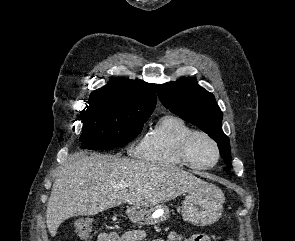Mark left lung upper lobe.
Segmentation results:
<instances>
[{
  "mask_svg": "<svg viewBox=\"0 0 295 241\" xmlns=\"http://www.w3.org/2000/svg\"><path fill=\"white\" fill-rule=\"evenodd\" d=\"M156 90L166 108L196 125L218 143L222 158L231 166L229 138L222 131V111L213 94L200 87L194 78L159 84Z\"/></svg>",
  "mask_w": 295,
  "mask_h": 241,
  "instance_id": "1",
  "label": "left lung upper lobe"
}]
</instances>
